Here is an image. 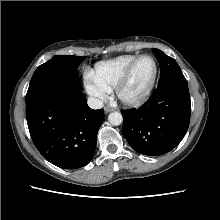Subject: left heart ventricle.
Masks as SVG:
<instances>
[{"mask_svg":"<svg viewBox=\"0 0 220 220\" xmlns=\"http://www.w3.org/2000/svg\"><path fill=\"white\" fill-rule=\"evenodd\" d=\"M155 72L154 62L150 58L142 59L134 69L129 83L123 90L128 98L140 96L151 83Z\"/></svg>","mask_w":220,"mask_h":220,"instance_id":"1","label":"left heart ventricle"}]
</instances>
